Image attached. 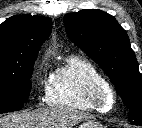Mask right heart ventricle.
<instances>
[{
	"label": "right heart ventricle",
	"instance_id": "1",
	"mask_svg": "<svg viewBox=\"0 0 142 128\" xmlns=\"http://www.w3.org/2000/svg\"><path fill=\"white\" fill-rule=\"evenodd\" d=\"M95 82L110 86L92 62L83 57L70 56L52 73L47 103L72 110L97 111L87 100L88 89Z\"/></svg>",
	"mask_w": 142,
	"mask_h": 128
}]
</instances>
